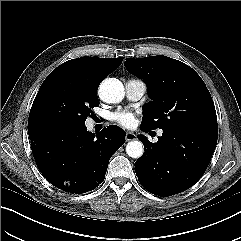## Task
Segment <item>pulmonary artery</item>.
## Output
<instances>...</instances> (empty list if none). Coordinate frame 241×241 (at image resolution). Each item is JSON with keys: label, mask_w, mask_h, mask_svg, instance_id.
<instances>
[{"label": "pulmonary artery", "mask_w": 241, "mask_h": 241, "mask_svg": "<svg viewBox=\"0 0 241 241\" xmlns=\"http://www.w3.org/2000/svg\"><path fill=\"white\" fill-rule=\"evenodd\" d=\"M126 96L131 101H137L146 93L147 85L141 79L132 78L125 85Z\"/></svg>", "instance_id": "1"}]
</instances>
